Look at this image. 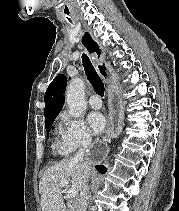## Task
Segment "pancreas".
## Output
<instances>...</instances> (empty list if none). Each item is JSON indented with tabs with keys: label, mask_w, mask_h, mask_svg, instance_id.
I'll return each mask as SVG.
<instances>
[{
	"label": "pancreas",
	"mask_w": 179,
	"mask_h": 211,
	"mask_svg": "<svg viewBox=\"0 0 179 211\" xmlns=\"http://www.w3.org/2000/svg\"><path fill=\"white\" fill-rule=\"evenodd\" d=\"M66 211H78L77 202L74 201V202L69 203L68 209Z\"/></svg>",
	"instance_id": "1"
}]
</instances>
